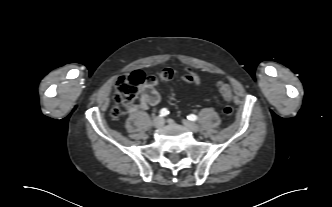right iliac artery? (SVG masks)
<instances>
[{
	"mask_svg": "<svg viewBox=\"0 0 332 207\" xmlns=\"http://www.w3.org/2000/svg\"><path fill=\"white\" fill-rule=\"evenodd\" d=\"M169 113V111L166 108H163L160 110V116L164 117Z\"/></svg>",
	"mask_w": 332,
	"mask_h": 207,
	"instance_id": "right-iliac-artery-1",
	"label": "right iliac artery"
}]
</instances>
